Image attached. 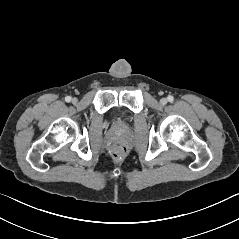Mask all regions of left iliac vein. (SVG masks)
<instances>
[{"mask_svg": "<svg viewBox=\"0 0 239 239\" xmlns=\"http://www.w3.org/2000/svg\"><path fill=\"white\" fill-rule=\"evenodd\" d=\"M160 103H161L162 105H165V104L167 103V99H166V98H162V99L160 100Z\"/></svg>", "mask_w": 239, "mask_h": 239, "instance_id": "obj_1", "label": "left iliac vein"}]
</instances>
